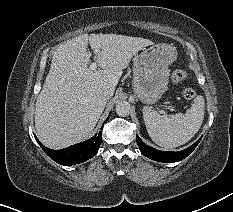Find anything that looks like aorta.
Masks as SVG:
<instances>
[{"mask_svg": "<svg viewBox=\"0 0 233 212\" xmlns=\"http://www.w3.org/2000/svg\"><path fill=\"white\" fill-rule=\"evenodd\" d=\"M116 113L119 115V116H127L130 114L131 112V105L129 102L127 101H121L119 102L117 105H116Z\"/></svg>", "mask_w": 233, "mask_h": 212, "instance_id": "1", "label": "aorta"}]
</instances>
